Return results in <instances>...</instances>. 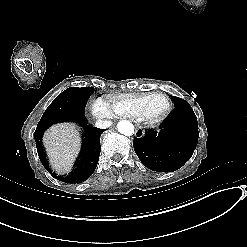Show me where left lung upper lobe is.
I'll return each instance as SVG.
<instances>
[{"label": "left lung upper lobe", "instance_id": "obj_1", "mask_svg": "<svg viewBox=\"0 0 247 247\" xmlns=\"http://www.w3.org/2000/svg\"><path fill=\"white\" fill-rule=\"evenodd\" d=\"M173 101H174V106L175 108L178 107H183V106H190L185 100L175 97V96H171Z\"/></svg>", "mask_w": 247, "mask_h": 247}]
</instances>
